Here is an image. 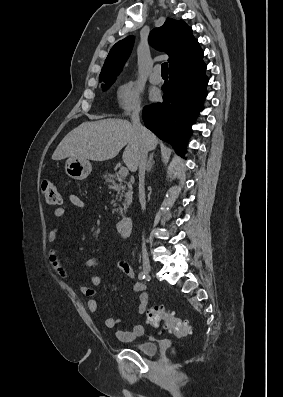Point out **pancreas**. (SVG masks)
I'll return each instance as SVG.
<instances>
[{"instance_id": "cf45deb5", "label": "pancreas", "mask_w": 283, "mask_h": 397, "mask_svg": "<svg viewBox=\"0 0 283 397\" xmlns=\"http://www.w3.org/2000/svg\"><path fill=\"white\" fill-rule=\"evenodd\" d=\"M105 182L108 183V187L117 192L116 199L121 201L125 198V201L122 202L123 208H119L116 211L120 210V214L124 215V210L131 204L132 201V185L130 182H127L125 177L120 176L119 173L115 174H105L104 175ZM128 187V189L126 188Z\"/></svg>"}]
</instances>
